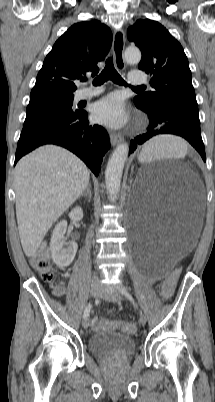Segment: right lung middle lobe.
Returning a JSON list of instances; mask_svg holds the SVG:
<instances>
[{
    "label": "right lung middle lobe",
    "instance_id": "right-lung-middle-lobe-1",
    "mask_svg": "<svg viewBox=\"0 0 215 402\" xmlns=\"http://www.w3.org/2000/svg\"><path fill=\"white\" fill-rule=\"evenodd\" d=\"M73 96H45L30 99L26 119L18 142L24 141L36 132L75 116L72 109Z\"/></svg>",
    "mask_w": 215,
    "mask_h": 402
}]
</instances>
